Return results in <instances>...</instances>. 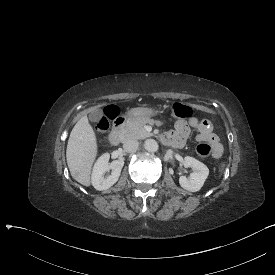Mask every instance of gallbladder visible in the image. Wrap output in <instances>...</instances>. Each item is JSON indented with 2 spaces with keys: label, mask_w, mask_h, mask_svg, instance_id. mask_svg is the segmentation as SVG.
Here are the masks:
<instances>
[{
  "label": "gallbladder",
  "mask_w": 275,
  "mask_h": 275,
  "mask_svg": "<svg viewBox=\"0 0 275 275\" xmlns=\"http://www.w3.org/2000/svg\"><path fill=\"white\" fill-rule=\"evenodd\" d=\"M103 116V110L102 109H96L89 114V120L92 122H99L101 117Z\"/></svg>",
  "instance_id": "bac80fb5"
}]
</instances>
